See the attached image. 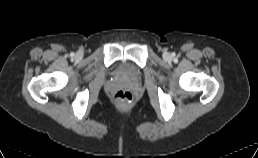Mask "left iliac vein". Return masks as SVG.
<instances>
[{"instance_id":"obj_1","label":"left iliac vein","mask_w":258,"mask_h":158,"mask_svg":"<svg viewBox=\"0 0 258 158\" xmlns=\"http://www.w3.org/2000/svg\"><path fill=\"white\" fill-rule=\"evenodd\" d=\"M163 57H164V59H166V60H169L170 58H171V55H170V53L169 52H164L163 53Z\"/></svg>"}]
</instances>
